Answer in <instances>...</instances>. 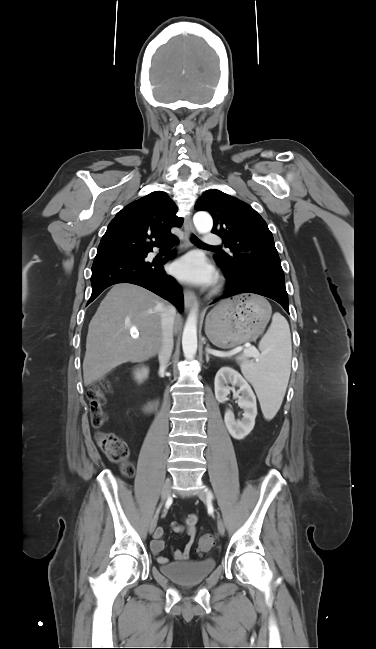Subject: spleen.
Instances as JSON below:
<instances>
[{
  "label": "spleen",
  "mask_w": 376,
  "mask_h": 649,
  "mask_svg": "<svg viewBox=\"0 0 376 649\" xmlns=\"http://www.w3.org/2000/svg\"><path fill=\"white\" fill-rule=\"evenodd\" d=\"M259 349V362L243 361L240 367L256 391L264 417L272 419L282 404L291 371L290 328L280 313L273 315Z\"/></svg>",
  "instance_id": "1"
}]
</instances>
